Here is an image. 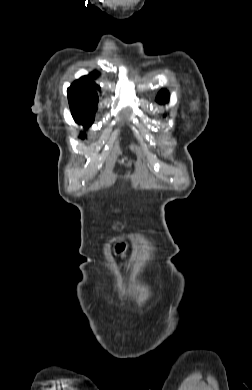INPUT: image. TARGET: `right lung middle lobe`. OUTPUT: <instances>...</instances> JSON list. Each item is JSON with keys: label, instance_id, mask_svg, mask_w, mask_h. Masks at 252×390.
Wrapping results in <instances>:
<instances>
[{"label": "right lung middle lobe", "instance_id": "1", "mask_svg": "<svg viewBox=\"0 0 252 390\" xmlns=\"http://www.w3.org/2000/svg\"><path fill=\"white\" fill-rule=\"evenodd\" d=\"M95 111L96 110L72 112V116L76 123L83 125L85 128H88L94 121ZM81 137L85 138L86 135L82 133Z\"/></svg>", "mask_w": 252, "mask_h": 390}]
</instances>
